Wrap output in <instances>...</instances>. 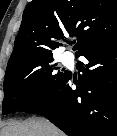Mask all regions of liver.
<instances>
[{"label": "liver", "instance_id": "liver-1", "mask_svg": "<svg viewBox=\"0 0 117 136\" xmlns=\"http://www.w3.org/2000/svg\"><path fill=\"white\" fill-rule=\"evenodd\" d=\"M4 136H64L45 119H29L22 123H11L3 129Z\"/></svg>", "mask_w": 117, "mask_h": 136}]
</instances>
